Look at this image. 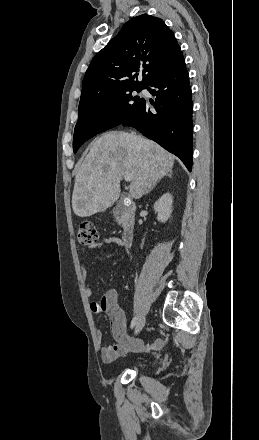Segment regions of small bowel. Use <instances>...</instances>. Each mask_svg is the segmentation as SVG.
<instances>
[{"label": "small bowel", "instance_id": "small-bowel-1", "mask_svg": "<svg viewBox=\"0 0 259 440\" xmlns=\"http://www.w3.org/2000/svg\"><path fill=\"white\" fill-rule=\"evenodd\" d=\"M109 244H114L124 249L128 248L123 239L116 236L105 237L99 242L91 245L89 248L100 249L101 247ZM82 280L85 285V294L90 297L92 295V290L88 284L87 270L84 266L82 268ZM89 307L91 312L94 314L102 312L106 313L110 320L111 333L115 340V343L105 346L101 349V357L103 361L111 362L130 350H157L161 349L164 346L165 342L162 339L156 340L151 345H144L142 340H134L128 335L125 315L122 309L117 304L116 296L114 293H108L99 302L92 301L89 304ZM96 337L99 342L102 341L103 334L100 330L96 332Z\"/></svg>", "mask_w": 259, "mask_h": 440}]
</instances>
